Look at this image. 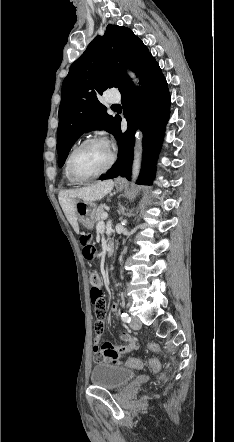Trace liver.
<instances>
[{"label":"liver","instance_id":"liver-1","mask_svg":"<svg viewBox=\"0 0 234 442\" xmlns=\"http://www.w3.org/2000/svg\"><path fill=\"white\" fill-rule=\"evenodd\" d=\"M114 187L112 180L99 181L94 185L83 187L75 190H66L59 193V203L64 214L73 227L74 231L79 234L78 219L75 210V204L79 201L94 202L102 199Z\"/></svg>","mask_w":234,"mask_h":442}]
</instances>
